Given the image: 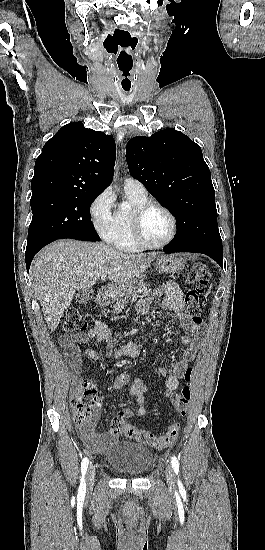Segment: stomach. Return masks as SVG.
I'll return each mask as SVG.
<instances>
[{"mask_svg": "<svg viewBox=\"0 0 265 550\" xmlns=\"http://www.w3.org/2000/svg\"><path fill=\"white\" fill-rule=\"evenodd\" d=\"M186 265V260L182 258L180 255H167V256H160L157 258L155 262L156 270L159 273L163 274H175L181 271ZM138 283V279H135L133 282L129 284V286L126 288L125 292L133 287L136 286Z\"/></svg>", "mask_w": 265, "mask_h": 550, "instance_id": "0dacf381", "label": "stomach"}]
</instances>
